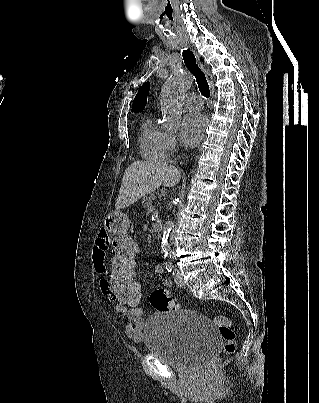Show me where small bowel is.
I'll use <instances>...</instances> for the list:
<instances>
[{
  "instance_id": "small-bowel-1",
  "label": "small bowel",
  "mask_w": 319,
  "mask_h": 403,
  "mask_svg": "<svg viewBox=\"0 0 319 403\" xmlns=\"http://www.w3.org/2000/svg\"><path fill=\"white\" fill-rule=\"evenodd\" d=\"M108 246L109 235L105 229L100 230L93 249L92 260L94 262L97 272L102 276L101 288L108 300L115 304V310L125 319V332L127 336L134 342H140L143 338V320L141 319L142 313H125L124 304H116L113 300V273L108 272ZM134 278L136 276L137 268H134ZM156 273L163 272V265L161 263L155 266ZM163 287L170 288L172 283L170 280L162 282ZM142 299V291H140Z\"/></svg>"
}]
</instances>
